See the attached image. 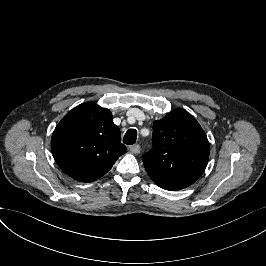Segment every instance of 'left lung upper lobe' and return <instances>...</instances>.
Instances as JSON below:
<instances>
[{
    "label": "left lung upper lobe",
    "instance_id": "left-lung-upper-lobe-1",
    "mask_svg": "<svg viewBox=\"0 0 266 266\" xmlns=\"http://www.w3.org/2000/svg\"><path fill=\"white\" fill-rule=\"evenodd\" d=\"M153 148L143 155L153 181L183 189L204 172L209 159V142L196 119L175 109L153 124Z\"/></svg>",
    "mask_w": 266,
    "mask_h": 266
}]
</instances>
